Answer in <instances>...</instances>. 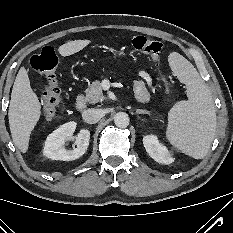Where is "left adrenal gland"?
<instances>
[{
  "mask_svg": "<svg viewBox=\"0 0 233 233\" xmlns=\"http://www.w3.org/2000/svg\"><path fill=\"white\" fill-rule=\"evenodd\" d=\"M136 113H137V114H148V115H150V112H149V111L142 110V109H137V110H136Z\"/></svg>",
  "mask_w": 233,
  "mask_h": 233,
  "instance_id": "left-adrenal-gland-1",
  "label": "left adrenal gland"
}]
</instances>
